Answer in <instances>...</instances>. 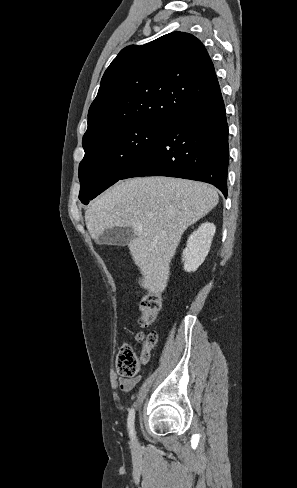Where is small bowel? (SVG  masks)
Instances as JSON below:
<instances>
[{"mask_svg":"<svg viewBox=\"0 0 297 488\" xmlns=\"http://www.w3.org/2000/svg\"><path fill=\"white\" fill-rule=\"evenodd\" d=\"M141 380V376H134V377H124L120 376L118 378L119 387L123 392L131 391L136 384Z\"/></svg>","mask_w":297,"mask_h":488,"instance_id":"small-bowel-1","label":"small bowel"}]
</instances>
